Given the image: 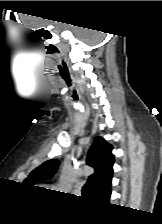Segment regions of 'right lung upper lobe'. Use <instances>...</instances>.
Wrapping results in <instances>:
<instances>
[{
    "instance_id": "cb5924a9",
    "label": "right lung upper lobe",
    "mask_w": 162,
    "mask_h": 224,
    "mask_svg": "<svg viewBox=\"0 0 162 224\" xmlns=\"http://www.w3.org/2000/svg\"><path fill=\"white\" fill-rule=\"evenodd\" d=\"M87 165L94 168L95 172L88 178L90 195L93 198L102 199L111 192L114 156L112 146L103 138L97 137L89 149ZM59 166L57 159H51L34 169L25 182L33 185L39 181L52 177Z\"/></svg>"
}]
</instances>
